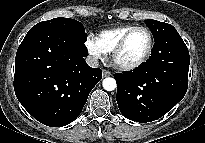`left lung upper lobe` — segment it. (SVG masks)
Returning <instances> with one entry per match:
<instances>
[{
    "label": "left lung upper lobe",
    "mask_w": 205,
    "mask_h": 143,
    "mask_svg": "<svg viewBox=\"0 0 205 143\" xmlns=\"http://www.w3.org/2000/svg\"><path fill=\"white\" fill-rule=\"evenodd\" d=\"M145 23L150 28L155 42L160 38L177 31L172 25L157 20L148 19Z\"/></svg>",
    "instance_id": "1"
}]
</instances>
